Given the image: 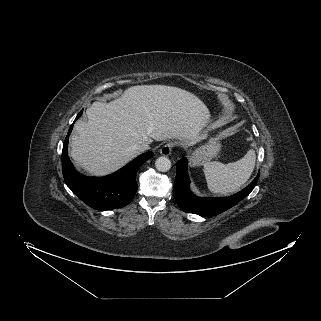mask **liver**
<instances>
[{
  "label": "liver",
  "mask_w": 321,
  "mask_h": 321,
  "mask_svg": "<svg viewBox=\"0 0 321 321\" xmlns=\"http://www.w3.org/2000/svg\"><path fill=\"white\" fill-rule=\"evenodd\" d=\"M79 120L70 155L95 176L109 174L139 155L135 147L153 140L178 139L192 145L209 123L207 106L193 93L166 85L126 89L110 103L94 102Z\"/></svg>",
  "instance_id": "1"
}]
</instances>
